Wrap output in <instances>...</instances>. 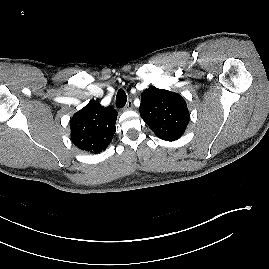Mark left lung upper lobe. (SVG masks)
<instances>
[{"label":"left lung upper lobe","instance_id":"obj_1","mask_svg":"<svg viewBox=\"0 0 269 269\" xmlns=\"http://www.w3.org/2000/svg\"><path fill=\"white\" fill-rule=\"evenodd\" d=\"M139 111L150 129L165 141L179 139L190 119L181 95L153 86L142 92Z\"/></svg>","mask_w":269,"mask_h":269}]
</instances>
